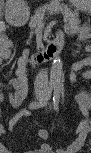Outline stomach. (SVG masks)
I'll use <instances>...</instances> for the list:
<instances>
[{
	"label": "stomach",
	"mask_w": 91,
	"mask_h": 153,
	"mask_svg": "<svg viewBox=\"0 0 91 153\" xmlns=\"http://www.w3.org/2000/svg\"><path fill=\"white\" fill-rule=\"evenodd\" d=\"M72 2H73L74 5H76L78 7H85V6L90 5L89 0H73Z\"/></svg>",
	"instance_id": "stomach-1"
}]
</instances>
